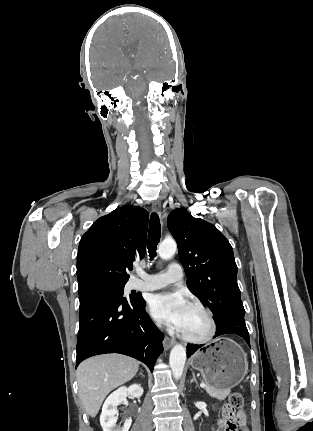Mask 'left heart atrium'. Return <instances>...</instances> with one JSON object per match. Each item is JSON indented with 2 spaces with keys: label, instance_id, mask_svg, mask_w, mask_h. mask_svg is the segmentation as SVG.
I'll use <instances>...</instances> for the list:
<instances>
[{
  "label": "left heart atrium",
  "instance_id": "obj_1",
  "mask_svg": "<svg viewBox=\"0 0 313 431\" xmlns=\"http://www.w3.org/2000/svg\"><path fill=\"white\" fill-rule=\"evenodd\" d=\"M188 308V302L180 293L156 294L149 304L150 312L156 319L178 331L183 330Z\"/></svg>",
  "mask_w": 313,
  "mask_h": 431
}]
</instances>
